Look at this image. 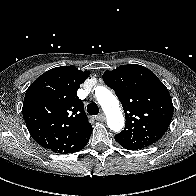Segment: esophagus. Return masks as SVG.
Masks as SVG:
<instances>
[{
	"label": "esophagus",
	"mask_w": 196,
	"mask_h": 196,
	"mask_svg": "<svg viewBox=\"0 0 196 196\" xmlns=\"http://www.w3.org/2000/svg\"><path fill=\"white\" fill-rule=\"evenodd\" d=\"M96 120L97 121H104L105 120L104 114H100V115L96 116Z\"/></svg>",
	"instance_id": "1"
}]
</instances>
